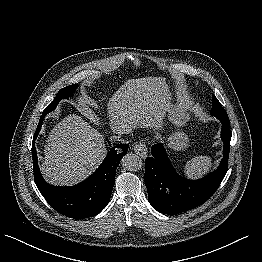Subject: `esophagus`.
Here are the masks:
<instances>
[{
    "mask_svg": "<svg viewBox=\"0 0 262 262\" xmlns=\"http://www.w3.org/2000/svg\"><path fill=\"white\" fill-rule=\"evenodd\" d=\"M134 152L139 155L142 159L147 157V146L143 141H140L134 146Z\"/></svg>",
    "mask_w": 262,
    "mask_h": 262,
    "instance_id": "34e87169",
    "label": "esophagus"
}]
</instances>
